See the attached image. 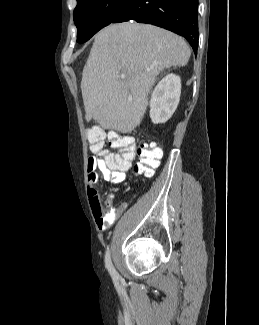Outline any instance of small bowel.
Listing matches in <instances>:
<instances>
[{
	"label": "small bowel",
	"mask_w": 259,
	"mask_h": 325,
	"mask_svg": "<svg viewBox=\"0 0 259 325\" xmlns=\"http://www.w3.org/2000/svg\"><path fill=\"white\" fill-rule=\"evenodd\" d=\"M118 161L119 156L109 152H102L100 153V157H92L88 160V193L92 205L93 215L96 219L98 227L101 230H105L110 226L115 213L107 211L99 200L96 183L98 181L99 173L102 175L105 181L112 184H119L123 182L126 177V172L130 167L120 168L118 166ZM105 204L107 206H112V195H109L106 198Z\"/></svg>",
	"instance_id": "c3829d8e"
}]
</instances>
